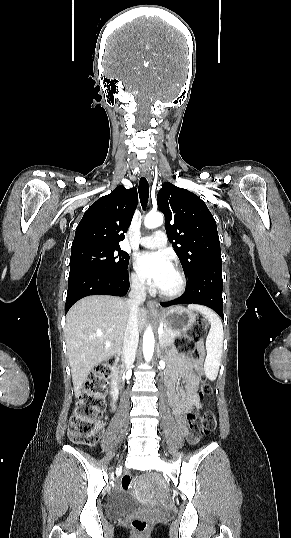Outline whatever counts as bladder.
<instances>
[{
	"label": "bladder",
	"instance_id": "obj_1",
	"mask_svg": "<svg viewBox=\"0 0 291 538\" xmlns=\"http://www.w3.org/2000/svg\"><path fill=\"white\" fill-rule=\"evenodd\" d=\"M140 508V505L119 496L110 498L106 504V512L110 518H118L128 512L137 511Z\"/></svg>",
	"mask_w": 291,
	"mask_h": 538
}]
</instances>
